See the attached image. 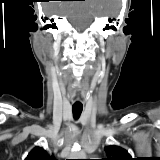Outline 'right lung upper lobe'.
<instances>
[{
    "label": "right lung upper lobe",
    "instance_id": "cb5924a9",
    "mask_svg": "<svg viewBox=\"0 0 160 160\" xmlns=\"http://www.w3.org/2000/svg\"><path fill=\"white\" fill-rule=\"evenodd\" d=\"M25 160H56L53 155L47 153L41 147H35L31 150Z\"/></svg>",
    "mask_w": 160,
    "mask_h": 160
}]
</instances>
